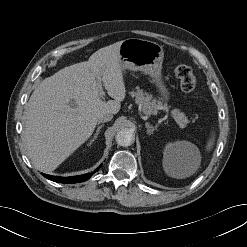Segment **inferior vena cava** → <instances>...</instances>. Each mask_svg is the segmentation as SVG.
I'll use <instances>...</instances> for the list:
<instances>
[{"label": "inferior vena cava", "mask_w": 247, "mask_h": 247, "mask_svg": "<svg viewBox=\"0 0 247 247\" xmlns=\"http://www.w3.org/2000/svg\"><path fill=\"white\" fill-rule=\"evenodd\" d=\"M112 118H113V115L104 113L98 116L97 121L98 123H104V122L110 121Z\"/></svg>", "instance_id": "inferior-vena-cava-1"}]
</instances>
